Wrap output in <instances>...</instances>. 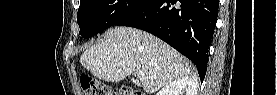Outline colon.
<instances>
[{
	"mask_svg": "<svg viewBox=\"0 0 277 95\" xmlns=\"http://www.w3.org/2000/svg\"><path fill=\"white\" fill-rule=\"evenodd\" d=\"M81 86L87 95H142L143 93L139 90L132 89L130 87L123 86L118 92H114L105 83L92 79L90 77H82Z\"/></svg>",
	"mask_w": 277,
	"mask_h": 95,
	"instance_id": "obj_1",
	"label": "colon"
}]
</instances>
